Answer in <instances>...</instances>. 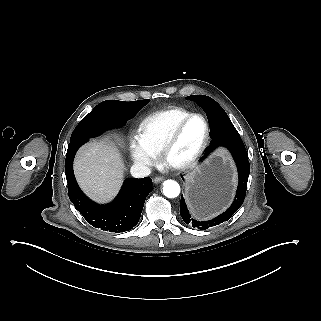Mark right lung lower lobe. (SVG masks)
Segmentation results:
<instances>
[{"label":"right lung lower lobe","mask_w":321,"mask_h":321,"mask_svg":"<svg viewBox=\"0 0 321 321\" xmlns=\"http://www.w3.org/2000/svg\"><path fill=\"white\" fill-rule=\"evenodd\" d=\"M97 106L96 115L102 120L107 130L123 126L141 109L132 102L115 100L104 101ZM88 140L89 137H83L70 141L68 145L65 173L69 198L92 226L115 233L128 231L140 219L145 199L152 191V180L150 177L127 179L112 203L99 205L91 201L79 188L73 172L74 156L79 147Z\"/></svg>","instance_id":"1"}]
</instances>
